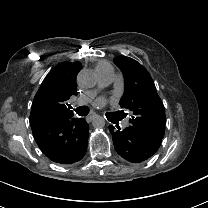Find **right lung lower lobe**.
Listing matches in <instances>:
<instances>
[{
    "instance_id": "obj_1",
    "label": "right lung lower lobe",
    "mask_w": 208,
    "mask_h": 208,
    "mask_svg": "<svg viewBox=\"0 0 208 208\" xmlns=\"http://www.w3.org/2000/svg\"><path fill=\"white\" fill-rule=\"evenodd\" d=\"M30 124L39 148L53 162L72 164L84 157L89 131L84 118H38Z\"/></svg>"
}]
</instances>
